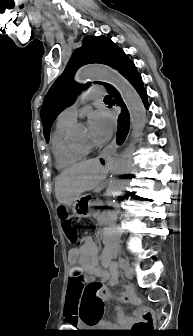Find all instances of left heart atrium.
Segmentation results:
<instances>
[{"label":"left heart atrium","mask_w":193,"mask_h":336,"mask_svg":"<svg viewBox=\"0 0 193 336\" xmlns=\"http://www.w3.org/2000/svg\"><path fill=\"white\" fill-rule=\"evenodd\" d=\"M87 124L90 138L96 143H102L110 137L115 122L108 111L101 109L89 115Z\"/></svg>","instance_id":"1"}]
</instances>
